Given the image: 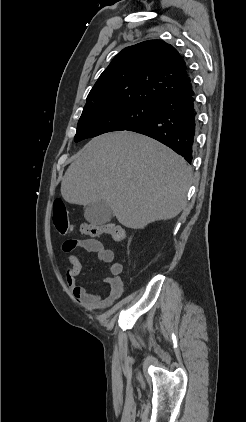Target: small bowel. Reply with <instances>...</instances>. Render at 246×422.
I'll list each match as a JSON object with an SVG mask.
<instances>
[{
  "label": "small bowel",
  "instance_id": "small-bowel-1",
  "mask_svg": "<svg viewBox=\"0 0 246 422\" xmlns=\"http://www.w3.org/2000/svg\"><path fill=\"white\" fill-rule=\"evenodd\" d=\"M77 248L87 252L95 253L98 259L108 265L111 274L105 282L108 291L105 295L90 293L82 286L77 278L81 272L82 265L79 258L74 254ZM63 251L67 254L69 266L65 271V278L76 300L91 309H101L111 306L123 293V282L120 278L122 264L115 260L114 252L104 246L96 239H68L63 244Z\"/></svg>",
  "mask_w": 246,
  "mask_h": 422
}]
</instances>
